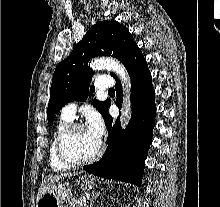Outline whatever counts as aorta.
I'll return each instance as SVG.
<instances>
[{
  "instance_id": "762f6f07",
  "label": "aorta",
  "mask_w": 220,
  "mask_h": 207,
  "mask_svg": "<svg viewBox=\"0 0 220 207\" xmlns=\"http://www.w3.org/2000/svg\"><path fill=\"white\" fill-rule=\"evenodd\" d=\"M89 66L91 69L95 71L105 70V69L113 71L119 76L126 93L128 94L130 93L131 81L129 75L123 64L120 63L118 60L108 57L96 58L90 62ZM130 118H131V104L129 101L124 100L121 109V122L123 123V126L128 123Z\"/></svg>"
}]
</instances>
